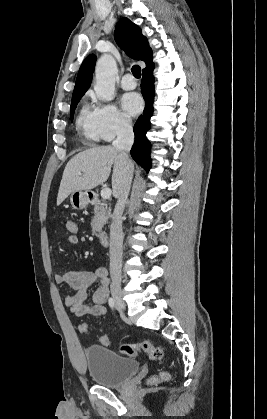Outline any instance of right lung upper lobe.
Returning a JSON list of instances; mask_svg holds the SVG:
<instances>
[{
    "label": "right lung upper lobe",
    "mask_w": 267,
    "mask_h": 419,
    "mask_svg": "<svg viewBox=\"0 0 267 419\" xmlns=\"http://www.w3.org/2000/svg\"><path fill=\"white\" fill-rule=\"evenodd\" d=\"M114 36L117 44L131 58L144 61L146 68L153 65L152 50L146 37L143 36L141 29L128 18L124 17L117 23ZM95 63L96 56L94 54L87 56L83 61L77 75L72 97L83 96L89 89Z\"/></svg>",
    "instance_id": "1"
}]
</instances>
